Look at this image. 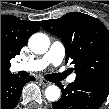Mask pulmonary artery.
Listing matches in <instances>:
<instances>
[{"label": "pulmonary artery", "instance_id": "1", "mask_svg": "<svg viewBox=\"0 0 109 109\" xmlns=\"http://www.w3.org/2000/svg\"><path fill=\"white\" fill-rule=\"evenodd\" d=\"M64 56V46L60 42L56 41L52 44L51 48L44 56L28 62L18 63L15 65V69L25 71H41L50 64L59 65L64 59ZM75 78V75H71L68 77L67 82L72 83L75 81Z\"/></svg>", "mask_w": 109, "mask_h": 109}]
</instances>
